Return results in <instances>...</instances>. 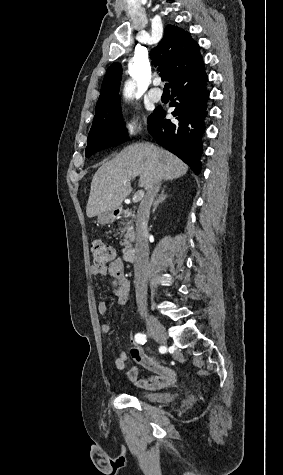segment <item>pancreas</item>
<instances>
[{"label": "pancreas", "mask_w": 283, "mask_h": 475, "mask_svg": "<svg viewBox=\"0 0 283 475\" xmlns=\"http://www.w3.org/2000/svg\"><path fill=\"white\" fill-rule=\"evenodd\" d=\"M123 224V232H126V234H123L124 238L122 241H120L121 245H124L122 251L125 253L127 251L128 247H132L131 241H134V230L132 226V222H122Z\"/></svg>", "instance_id": "pancreas-1"}]
</instances>
